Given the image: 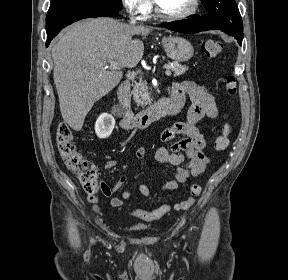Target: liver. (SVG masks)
<instances>
[{"label": "liver", "instance_id": "1", "mask_svg": "<svg viewBox=\"0 0 288 280\" xmlns=\"http://www.w3.org/2000/svg\"><path fill=\"white\" fill-rule=\"evenodd\" d=\"M151 31L143 25L99 17L72 24L54 44V83L62 117L72 129L81 130L94 103L119 84L121 69L141 60L143 42L132 36L145 38ZM111 61L119 63L120 69H113Z\"/></svg>", "mask_w": 288, "mask_h": 280}]
</instances>
